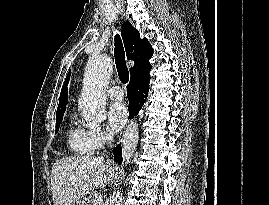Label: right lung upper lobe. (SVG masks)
<instances>
[{"label":"right lung upper lobe","mask_w":269,"mask_h":205,"mask_svg":"<svg viewBox=\"0 0 269 205\" xmlns=\"http://www.w3.org/2000/svg\"><path fill=\"white\" fill-rule=\"evenodd\" d=\"M121 34L127 59L135 62V65L130 68L131 78L148 73L151 70L149 59L153 55V49L148 40L146 38L141 39L139 32L129 22L123 23ZM70 73L71 71L62 87L56 117L63 116L66 109L68 102L67 82L69 81Z\"/></svg>","instance_id":"right-lung-upper-lobe-1"}]
</instances>
